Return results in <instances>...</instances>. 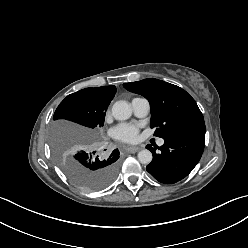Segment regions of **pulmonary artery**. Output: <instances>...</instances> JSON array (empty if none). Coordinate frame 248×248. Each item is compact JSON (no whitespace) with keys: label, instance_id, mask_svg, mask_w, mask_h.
I'll use <instances>...</instances> for the list:
<instances>
[{"label":"pulmonary artery","instance_id":"pulmonary-artery-1","mask_svg":"<svg viewBox=\"0 0 248 248\" xmlns=\"http://www.w3.org/2000/svg\"><path fill=\"white\" fill-rule=\"evenodd\" d=\"M133 112L138 117H145L150 109L149 102L144 98H134L131 102ZM159 145L164 144L163 139H159Z\"/></svg>","mask_w":248,"mask_h":248}]
</instances>
